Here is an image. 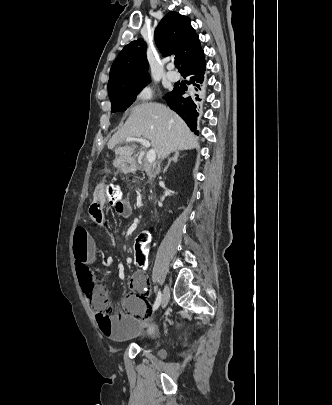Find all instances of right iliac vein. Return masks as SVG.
Wrapping results in <instances>:
<instances>
[{"mask_svg": "<svg viewBox=\"0 0 332 405\" xmlns=\"http://www.w3.org/2000/svg\"><path fill=\"white\" fill-rule=\"evenodd\" d=\"M170 299V290L169 287L166 285L163 289V293L161 296V307L165 308L169 302Z\"/></svg>", "mask_w": 332, "mask_h": 405, "instance_id": "63e3f726", "label": "right iliac vein"}]
</instances>
